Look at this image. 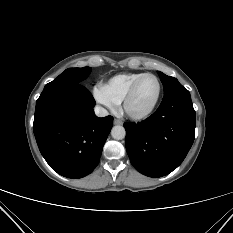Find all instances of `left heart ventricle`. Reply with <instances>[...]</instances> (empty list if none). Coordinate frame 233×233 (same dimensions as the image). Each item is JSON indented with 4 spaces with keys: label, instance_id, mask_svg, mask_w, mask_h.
<instances>
[{
    "label": "left heart ventricle",
    "instance_id": "obj_1",
    "mask_svg": "<svg viewBox=\"0 0 233 233\" xmlns=\"http://www.w3.org/2000/svg\"><path fill=\"white\" fill-rule=\"evenodd\" d=\"M158 91V85L154 78L147 77L139 84L134 97L129 103V109L133 112H142L148 109L154 102Z\"/></svg>",
    "mask_w": 233,
    "mask_h": 233
}]
</instances>
